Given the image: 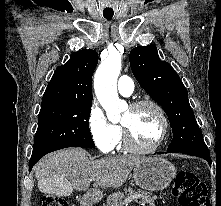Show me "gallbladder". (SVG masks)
I'll return each instance as SVG.
<instances>
[{"label": "gallbladder", "instance_id": "1", "mask_svg": "<svg viewBox=\"0 0 221 206\" xmlns=\"http://www.w3.org/2000/svg\"><path fill=\"white\" fill-rule=\"evenodd\" d=\"M37 190H43V194H57V198H66L71 194L70 181H39Z\"/></svg>", "mask_w": 221, "mask_h": 206}]
</instances>
